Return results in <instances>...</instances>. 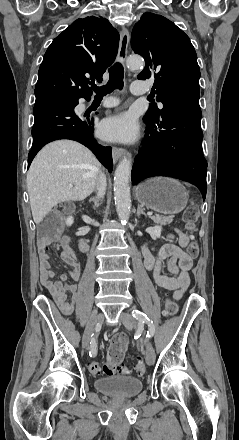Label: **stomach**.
I'll return each mask as SVG.
<instances>
[{"mask_svg":"<svg viewBox=\"0 0 239 440\" xmlns=\"http://www.w3.org/2000/svg\"><path fill=\"white\" fill-rule=\"evenodd\" d=\"M141 206L159 214H178L187 206L188 192L178 180L150 178L135 188Z\"/></svg>","mask_w":239,"mask_h":440,"instance_id":"1","label":"stomach"}]
</instances>
